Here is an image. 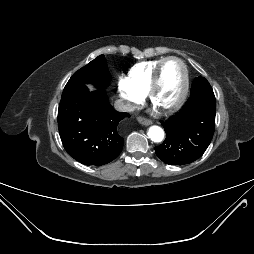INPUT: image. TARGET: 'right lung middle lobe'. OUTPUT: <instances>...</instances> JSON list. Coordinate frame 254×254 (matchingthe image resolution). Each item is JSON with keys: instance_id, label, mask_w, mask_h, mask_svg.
Segmentation results:
<instances>
[{"instance_id": "obj_1", "label": "right lung middle lobe", "mask_w": 254, "mask_h": 254, "mask_svg": "<svg viewBox=\"0 0 254 254\" xmlns=\"http://www.w3.org/2000/svg\"><path fill=\"white\" fill-rule=\"evenodd\" d=\"M110 80L111 76L107 69L105 56L100 55L86 66L76 71L65 87H70L76 84L92 83L98 89H104L109 85Z\"/></svg>"}]
</instances>
